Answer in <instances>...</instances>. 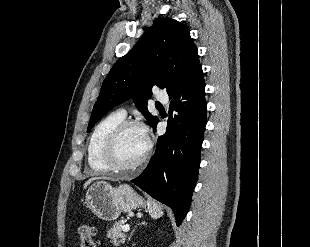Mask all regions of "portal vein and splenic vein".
<instances>
[{"mask_svg":"<svg viewBox=\"0 0 310 247\" xmlns=\"http://www.w3.org/2000/svg\"><path fill=\"white\" fill-rule=\"evenodd\" d=\"M122 230L124 232H128L130 230L129 225L128 224L123 225Z\"/></svg>","mask_w":310,"mask_h":247,"instance_id":"18ae733b","label":"portal vein and splenic vein"}]
</instances>
